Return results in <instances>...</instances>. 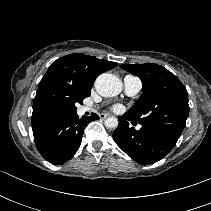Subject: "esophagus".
Returning <instances> with one entry per match:
<instances>
[{
  "mask_svg": "<svg viewBox=\"0 0 211 211\" xmlns=\"http://www.w3.org/2000/svg\"><path fill=\"white\" fill-rule=\"evenodd\" d=\"M109 116H110V115L107 114V113H102V114H100V118H102V119L107 118V117H109Z\"/></svg>",
  "mask_w": 211,
  "mask_h": 211,
  "instance_id": "obj_1",
  "label": "esophagus"
}]
</instances>
